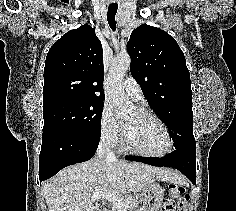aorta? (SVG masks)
<instances>
[{"instance_id":"762f6f07","label":"aorta","mask_w":236,"mask_h":211,"mask_svg":"<svg viewBox=\"0 0 236 211\" xmlns=\"http://www.w3.org/2000/svg\"><path fill=\"white\" fill-rule=\"evenodd\" d=\"M130 64L131 58L128 55L118 56L113 60L109 72V95L112 99L115 111L119 115H123L133 108V103L126 97L123 88V78Z\"/></svg>"}]
</instances>
